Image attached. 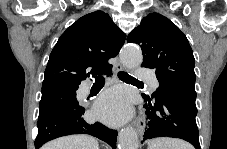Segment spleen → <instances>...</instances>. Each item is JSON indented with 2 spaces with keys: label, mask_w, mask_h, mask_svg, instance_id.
<instances>
[{
  "label": "spleen",
  "mask_w": 227,
  "mask_h": 149,
  "mask_svg": "<svg viewBox=\"0 0 227 149\" xmlns=\"http://www.w3.org/2000/svg\"><path fill=\"white\" fill-rule=\"evenodd\" d=\"M148 149H192L188 143L167 137L153 139L148 144Z\"/></svg>",
  "instance_id": "1"
}]
</instances>
